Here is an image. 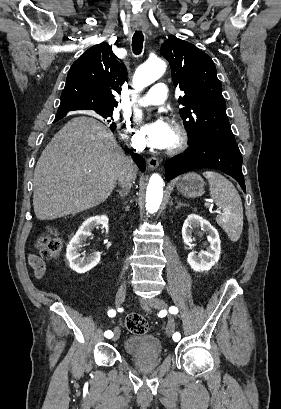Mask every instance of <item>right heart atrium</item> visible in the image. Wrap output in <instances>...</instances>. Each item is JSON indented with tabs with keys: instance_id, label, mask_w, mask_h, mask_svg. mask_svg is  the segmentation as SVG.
Wrapping results in <instances>:
<instances>
[{
	"instance_id": "1",
	"label": "right heart atrium",
	"mask_w": 281,
	"mask_h": 409,
	"mask_svg": "<svg viewBox=\"0 0 281 409\" xmlns=\"http://www.w3.org/2000/svg\"><path fill=\"white\" fill-rule=\"evenodd\" d=\"M123 141L129 145L131 148L139 151L142 150V144L138 138L131 133V125L127 124L121 134Z\"/></svg>"
}]
</instances>
